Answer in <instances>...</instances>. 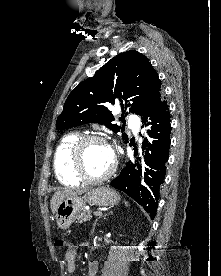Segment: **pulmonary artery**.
I'll list each match as a JSON object with an SVG mask.
<instances>
[{
  "label": "pulmonary artery",
  "mask_w": 221,
  "mask_h": 276,
  "mask_svg": "<svg viewBox=\"0 0 221 276\" xmlns=\"http://www.w3.org/2000/svg\"><path fill=\"white\" fill-rule=\"evenodd\" d=\"M134 119H135L134 116H131V117H130V120L134 121ZM133 129H134V131H137L138 125L134 123V124H133Z\"/></svg>",
  "instance_id": "pulmonary-artery-1"
}]
</instances>
